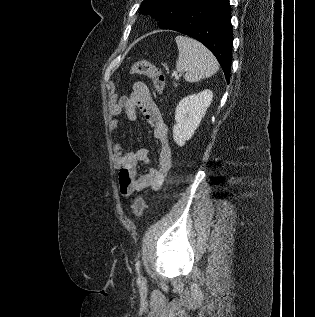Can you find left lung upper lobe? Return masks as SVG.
Returning a JSON list of instances; mask_svg holds the SVG:
<instances>
[{"label": "left lung upper lobe", "instance_id": "5c2ea615", "mask_svg": "<svg viewBox=\"0 0 315 317\" xmlns=\"http://www.w3.org/2000/svg\"><path fill=\"white\" fill-rule=\"evenodd\" d=\"M198 0H144L140 6L142 14H151L159 20V26L168 29L176 24L186 11Z\"/></svg>", "mask_w": 315, "mask_h": 317}]
</instances>
